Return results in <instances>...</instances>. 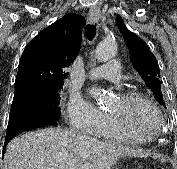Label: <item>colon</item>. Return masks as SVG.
<instances>
[{"label":"colon","mask_w":177,"mask_h":169,"mask_svg":"<svg viewBox=\"0 0 177 169\" xmlns=\"http://www.w3.org/2000/svg\"><path fill=\"white\" fill-rule=\"evenodd\" d=\"M155 169H166V168H164V167H157V168H155Z\"/></svg>","instance_id":"colon-1"}]
</instances>
